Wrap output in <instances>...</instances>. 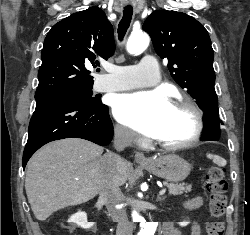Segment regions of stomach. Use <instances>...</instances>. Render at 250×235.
I'll return each instance as SVG.
<instances>
[{
  "instance_id": "stomach-1",
  "label": "stomach",
  "mask_w": 250,
  "mask_h": 235,
  "mask_svg": "<svg viewBox=\"0 0 250 235\" xmlns=\"http://www.w3.org/2000/svg\"><path fill=\"white\" fill-rule=\"evenodd\" d=\"M142 166L151 174L169 182H181L191 171V165L175 154L160 156Z\"/></svg>"
}]
</instances>
